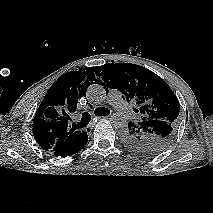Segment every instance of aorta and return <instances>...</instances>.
Segmentation results:
<instances>
[{"instance_id":"obj_1","label":"aorta","mask_w":213,"mask_h":213,"mask_svg":"<svg viewBox=\"0 0 213 213\" xmlns=\"http://www.w3.org/2000/svg\"><path fill=\"white\" fill-rule=\"evenodd\" d=\"M87 96L89 100L93 103L100 104L102 103L106 98V91L103 86L99 84H93L89 86L87 89ZM112 123L114 126L118 128H125L127 123L124 117H122L119 114H114L111 118Z\"/></svg>"}]
</instances>
